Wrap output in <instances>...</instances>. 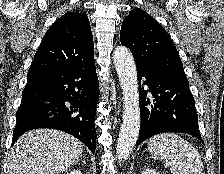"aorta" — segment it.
<instances>
[{"instance_id":"1","label":"aorta","mask_w":224,"mask_h":174,"mask_svg":"<svg viewBox=\"0 0 224 174\" xmlns=\"http://www.w3.org/2000/svg\"><path fill=\"white\" fill-rule=\"evenodd\" d=\"M113 61L123 90V123L120 127L116 154L119 160H127L135 146L140 131L139 91L136 65L132 53L118 46Z\"/></svg>"}]
</instances>
